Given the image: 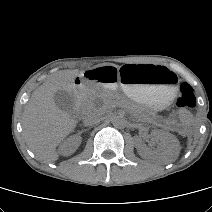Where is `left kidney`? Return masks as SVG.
Here are the masks:
<instances>
[{"label": "left kidney", "instance_id": "obj_1", "mask_svg": "<svg viewBox=\"0 0 212 212\" xmlns=\"http://www.w3.org/2000/svg\"><path fill=\"white\" fill-rule=\"evenodd\" d=\"M152 137L155 141H159L160 156L164 162H172L178 157L180 145L173 134L162 130H155L152 133ZM136 148L139 155L143 158L151 155V151L140 141L137 142Z\"/></svg>", "mask_w": 212, "mask_h": 212}]
</instances>
